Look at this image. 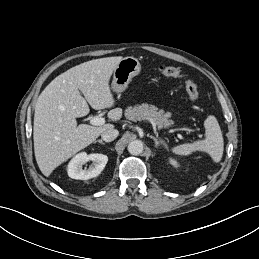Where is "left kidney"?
I'll return each instance as SVG.
<instances>
[{"instance_id": "left-kidney-1", "label": "left kidney", "mask_w": 259, "mask_h": 259, "mask_svg": "<svg viewBox=\"0 0 259 259\" xmlns=\"http://www.w3.org/2000/svg\"><path fill=\"white\" fill-rule=\"evenodd\" d=\"M170 163H171L173 166H175V167L178 166L177 162H176L175 160H173V159H170Z\"/></svg>"}]
</instances>
